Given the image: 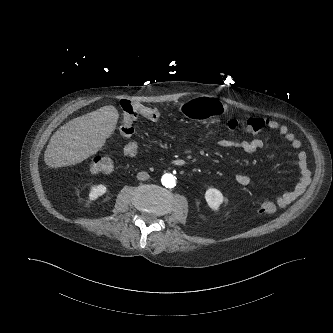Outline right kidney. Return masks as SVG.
<instances>
[{
	"label": "right kidney",
	"instance_id": "1",
	"mask_svg": "<svg viewBox=\"0 0 333 333\" xmlns=\"http://www.w3.org/2000/svg\"><path fill=\"white\" fill-rule=\"evenodd\" d=\"M107 192V187L103 184L94 185L92 186L90 193H89V199L95 200L98 197L104 195Z\"/></svg>",
	"mask_w": 333,
	"mask_h": 333
}]
</instances>
